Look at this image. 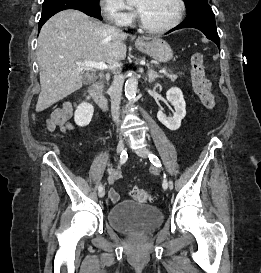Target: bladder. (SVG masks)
<instances>
[{"instance_id":"1","label":"bladder","mask_w":261,"mask_h":273,"mask_svg":"<svg viewBox=\"0 0 261 273\" xmlns=\"http://www.w3.org/2000/svg\"><path fill=\"white\" fill-rule=\"evenodd\" d=\"M107 220L113 228L119 231L150 232L162 223L163 216L154 206L122 201L108 211Z\"/></svg>"}]
</instances>
